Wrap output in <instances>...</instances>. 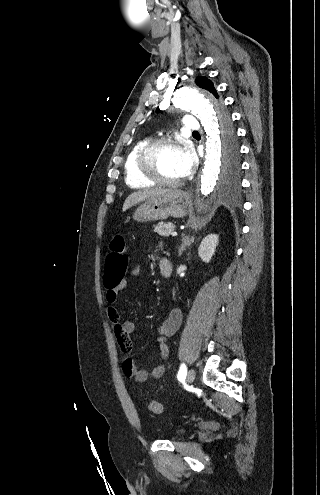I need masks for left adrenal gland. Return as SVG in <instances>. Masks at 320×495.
<instances>
[{"instance_id": "1", "label": "left adrenal gland", "mask_w": 320, "mask_h": 495, "mask_svg": "<svg viewBox=\"0 0 320 495\" xmlns=\"http://www.w3.org/2000/svg\"><path fill=\"white\" fill-rule=\"evenodd\" d=\"M182 243H181V246L179 248V256H181L182 252L185 250V248L191 244V237L189 236H186L185 234L182 235Z\"/></svg>"}]
</instances>
